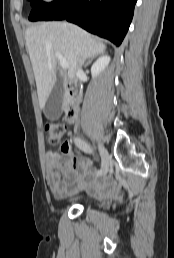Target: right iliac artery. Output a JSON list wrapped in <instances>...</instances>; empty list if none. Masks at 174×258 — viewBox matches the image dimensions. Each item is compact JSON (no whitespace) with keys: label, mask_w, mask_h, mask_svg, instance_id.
I'll return each mask as SVG.
<instances>
[{"label":"right iliac artery","mask_w":174,"mask_h":258,"mask_svg":"<svg viewBox=\"0 0 174 258\" xmlns=\"http://www.w3.org/2000/svg\"><path fill=\"white\" fill-rule=\"evenodd\" d=\"M75 144L78 148H80L82 151H84L85 153H89L91 154L92 153V149L90 148V146L85 142L83 141L82 139L80 138H75ZM102 174V170H99L97 172V175H101Z\"/></svg>","instance_id":"obj_1"}]
</instances>
